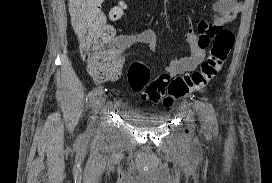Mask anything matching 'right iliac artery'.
I'll return each mask as SVG.
<instances>
[{
  "label": "right iliac artery",
  "mask_w": 272,
  "mask_h": 183,
  "mask_svg": "<svg viewBox=\"0 0 272 183\" xmlns=\"http://www.w3.org/2000/svg\"><path fill=\"white\" fill-rule=\"evenodd\" d=\"M103 87L102 86H98L96 88H94V90L90 93L89 98H90V103H92L95 98L99 95H101L103 93Z\"/></svg>",
  "instance_id": "82829eb1"
}]
</instances>
